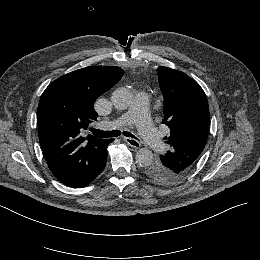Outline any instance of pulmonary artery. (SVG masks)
Here are the masks:
<instances>
[{
    "label": "pulmonary artery",
    "instance_id": "e3ab8cb5",
    "mask_svg": "<svg viewBox=\"0 0 260 260\" xmlns=\"http://www.w3.org/2000/svg\"><path fill=\"white\" fill-rule=\"evenodd\" d=\"M151 98L147 94L140 95L130 113L118 115L114 119V124L118 128H125L129 125L139 123V130L142 137L147 142L151 150L161 152L165 148V143L155 129L150 112Z\"/></svg>",
    "mask_w": 260,
    "mask_h": 260
}]
</instances>
